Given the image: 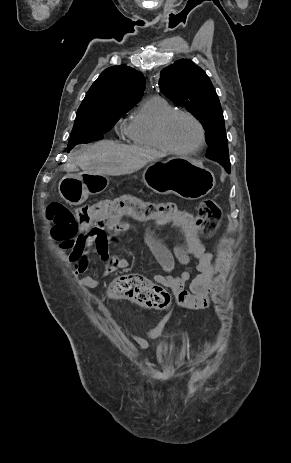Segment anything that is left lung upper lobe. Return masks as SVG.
Instances as JSON below:
<instances>
[{
    "instance_id": "5c2ea615",
    "label": "left lung upper lobe",
    "mask_w": 291,
    "mask_h": 463,
    "mask_svg": "<svg viewBox=\"0 0 291 463\" xmlns=\"http://www.w3.org/2000/svg\"><path fill=\"white\" fill-rule=\"evenodd\" d=\"M157 88L201 122L209 144L207 157L230 162L223 111L205 71L189 59L178 60L161 71Z\"/></svg>"
}]
</instances>
